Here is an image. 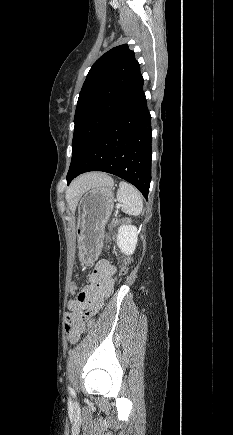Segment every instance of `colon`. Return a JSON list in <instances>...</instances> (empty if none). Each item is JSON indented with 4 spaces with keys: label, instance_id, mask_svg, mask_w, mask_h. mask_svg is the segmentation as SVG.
Here are the masks:
<instances>
[{
    "label": "colon",
    "instance_id": "1",
    "mask_svg": "<svg viewBox=\"0 0 233 435\" xmlns=\"http://www.w3.org/2000/svg\"><path fill=\"white\" fill-rule=\"evenodd\" d=\"M128 221H129V220H128L127 218H115V219H113V220L110 222L109 227H110V229H111V228L115 227V226L118 225V224L127 223ZM126 272H127V267H126V263H124V264L121 266V268H120V274H121V275H125ZM93 322H94V320L91 319V320H90V323H93ZM67 331L70 333V332H71V328H70V327H67Z\"/></svg>",
    "mask_w": 233,
    "mask_h": 435
}]
</instances>
